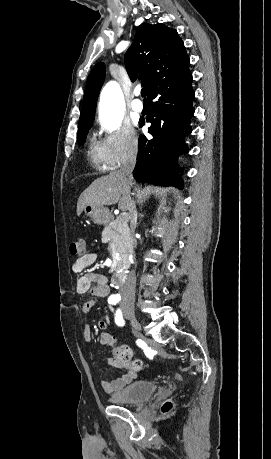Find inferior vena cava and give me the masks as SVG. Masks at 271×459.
I'll return each mask as SVG.
<instances>
[{"mask_svg": "<svg viewBox=\"0 0 271 459\" xmlns=\"http://www.w3.org/2000/svg\"><path fill=\"white\" fill-rule=\"evenodd\" d=\"M136 160H129L127 164L122 166L120 172L124 174V176H128L129 180H132V172L135 168ZM132 208L129 214V220H131L132 226H135L137 222V212L135 210L134 204H131ZM122 299H134L135 297V279H127L124 285H122L120 289Z\"/></svg>", "mask_w": 271, "mask_h": 459, "instance_id": "1", "label": "inferior vena cava"}]
</instances>
